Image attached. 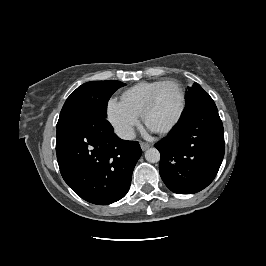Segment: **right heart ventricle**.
Instances as JSON below:
<instances>
[{
    "label": "right heart ventricle",
    "mask_w": 266,
    "mask_h": 266,
    "mask_svg": "<svg viewBox=\"0 0 266 266\" xmlns=\"http://www.w3.org/2000/svg\"><path fill=\"white\" fill-rule=\"evenodd\" d=\"M163 81H143L128 88L122 94V102L136 114L140 115L152 92Z\"/></svg>",
    "instance_id": "e07e8e85"
}]
</instances>
